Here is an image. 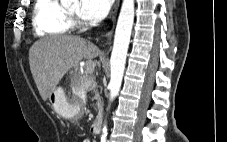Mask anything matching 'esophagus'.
<instances>
[{
    "label": "esophagus",
    "mask_w": 227,
    "mask_h": 142,
    "mask_svg": "<svg viewBox=\"0 0 227 142\" xmlns=\"http://www.w3.org/2000/svg\"><path fill=\"white\" fill-rule=\"evenodd\" d=\"M120 5V0H116L114 3V6L110 12L109 15V19L112 23V28L111 30L105 35L104 39L102 40L103 44H108L111 40L112 34H113V30H114V26H115V20H116V15H117V11Z\"/></svg>",
    "instance_id": "1"
}]
</instances>
